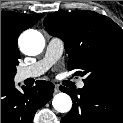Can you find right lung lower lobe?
<instances>
[{
	"instance_id": "right-lung-lower-lobe-1",
	"label": "right lung lower lobe",
	"mask_w": 123,
	"mask_h": 123,
	"mask_svg": "<svg viewBox=\"0 0 123 123\" xmlns=\"http://www.w3.org/2000/svg\"><path fill=\"white\" fill-rule=\"evenodd\" d=\"M22 89L18 91L14 81L1 83V123H32L37 109L52 98L54 84L39 80Z\"/></svg>"
}]
</instances>
